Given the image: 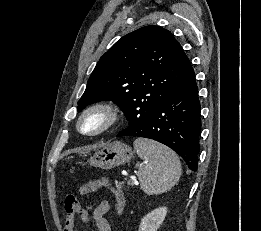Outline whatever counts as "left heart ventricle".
<instances>
[{"label": "left heart ventricle", "mask_w": 261, "mask_h": 231, "mask_svg": "<svg viewBox=\"0 0 261 231\" xmlns=\"http://www.w3.org/2000/svg\"><path fill=\"white\" fill-rule=\"evenodd\" d=\"M104 122V117L100 113L88 115L81 123V129L85 132L94 131Z\"/></svg>", "instance_id": "obj_1"}]
</instances>
